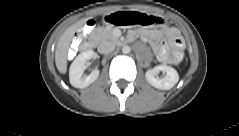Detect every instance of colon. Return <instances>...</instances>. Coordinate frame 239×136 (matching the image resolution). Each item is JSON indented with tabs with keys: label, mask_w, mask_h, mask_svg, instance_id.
<instances>
[{
	"label": "colon",
	"mask_w": 239,
	"mask_h": 136,
	"mask_svg": "<svg viewBox=\"0 0 239 136\" xmlns=\"http://www.w3.org/2000/svg\"><path fill=\"white\" fill-rule=\"evenodd\" d=\"M85 27H86V30H85ZM92 29H93V22L90 21L84 26L83 31L84 33H89Z\"/></svg>",
	"instance_id": "1"
}]
</instances>
